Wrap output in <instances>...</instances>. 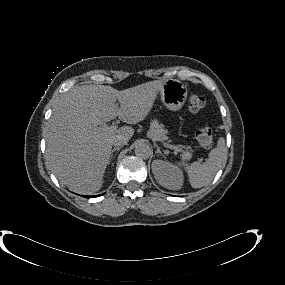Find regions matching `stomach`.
<instances>
[{
  "label": "stomach",
  "instance_id": "1",
  "mask_svg": "<svg viewBox=\"0 0 285 285\" xmlns=\"http://www.w3.org/2000/svg\"><path fill=\"white\" fill-rule=\"evenodd\" d=\"M162 103L171 111H179L186 102L187 88L179 80H166L158 91Z\"/></svg>",
  "mask_w": 285,
  "mask_h": 285
}]
</instances>
